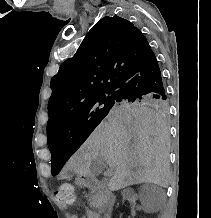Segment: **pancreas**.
Listing matches in <instances>:
<instances>
[{
	"label": "pancreas",
	"instance_id": "1",
	"mask_svg": "<svg viewBox=\"0 0 211 218\" xmlns=\"http://www.w3.org/2000/svg\"><path fill=\"white\" fill-rule=\"evenodd\" d=\"M93 195L96 196H90V206H99V205H110L112 204V199H108V191L107 190H93Z\"/></svg>",
	"mask_w": 211,
	"mask_h": 218
}]
</instances>
